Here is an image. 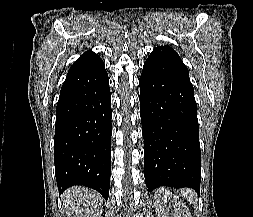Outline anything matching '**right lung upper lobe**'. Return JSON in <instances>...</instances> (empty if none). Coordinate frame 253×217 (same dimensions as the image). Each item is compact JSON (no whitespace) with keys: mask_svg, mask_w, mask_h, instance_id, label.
I'll return each instance as SVG.
<instances>
[{"mask_svg":"<svg viewBox=\"0 0 253 217\" xmlns=\"http://www.w3.org/2000/svg\"><path fill=\"white\" fill-rule=\"evenodd\" d=\"M100 60L101 58L97 54L93 53L92 51H87L81 55L76 62H74L68 73L92 65Z\"/></svg>","mask_w":253,"mask_h":217,"instance_id":"right-lung-upper-lobe-1","label":"right lung upper lobe"}]
</instances>
